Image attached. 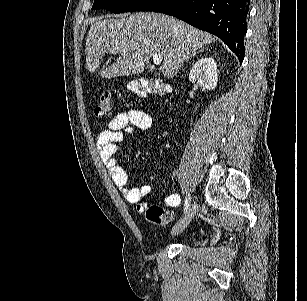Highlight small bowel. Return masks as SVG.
<instances>
[{
    "mask_svg": "<svg viewBox=\"0 0 307 301\" xmlns=\"http://www.w3.org/2000/svg\"><path fill=\"white\" fill-rule=\"evenodd\" d=\"M152 125L151 117L140 109H130L118 113L112 120H110L106 127L98 134L96 145L102 157V160L110 176L119 188L125 200L135 205L138 212L143 213L147 205L142 202L151 192V186L144 184L138 187H131L128 185V174L124 167L120 165L115 154L118 149V144L124 141L126 133H132L136 130H148ZM164 170L160 169L158 176H163ZM181 203V198L178 194H170L165 199V205L168 207H177Z\"/></svg>",
    "mask_w": 307,
    "mask_h": 301,
    "instance_id": "small-bowel-1",
    "label": "small bowel"
}]
</instances>
